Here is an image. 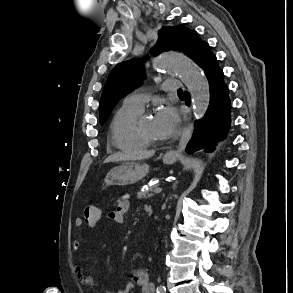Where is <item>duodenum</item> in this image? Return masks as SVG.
I'll list each match as a JSON object with an SVG mask.
<instances>
[{"label": "duodenum", "mask_w": 293, "mask_h": 293, "mask_svg": "<svg viewBox=\"0 0 293 293\" xmlns=\"http://www.w3.org/2000/svg\"><path fill=\"white\" fill-rule=\"evenodd\" d=\"M145 212L147 215H151L153 213V209L151 206H146L145 207Z\"/></svg>", "instance_id": "410a0bca"}]
</instances>
